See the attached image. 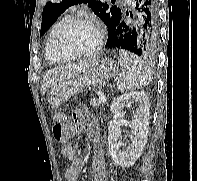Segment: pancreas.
Masks as SVG:
<instances>
[{
    "label": "pancreas",
    "mask_w": 197,
    "mask_h": 181,
    "mask_svg": "<svg viewBox=\"0 0 197 181\" xmlns=\"http://www.w3.org/2000/svg\"><path fill=\"white\" fill-rule=\"evenodd\" d=\"M91 105L95 108H100L102 106V101L100 98H92L90 101Z\"/></svg>",
    "instance_id": "pancreas-1"
}]
</instances>
